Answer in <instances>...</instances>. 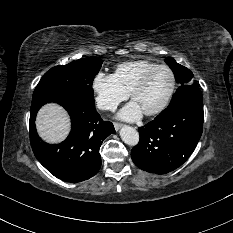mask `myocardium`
Wrapping results in <instances>:
<instances>
[{
    "label": "myocardium",
    "instance_id": "1",
    "mask_svg": "<svg viewBox=\"0 0 233 233\" xmlns=\"http://www.w3.org/2000/svg\"><path fill=\"white\" fill-rule=\"evenodd\" d=\"M167 70L170 75H171V79H172V83H171V87L170 90L167 94V96L165 97V99L163 100V102L154 110L149 111L144 113L146 116L152 117V116H157L160 113H162L167 106L169 105L175 90H176V86H177V80H176V76L174 71L167 65H157L156 67L152 68L151 70H149L148 72H146L141 79L135 84V86L132 88L131 92H130V98L133 99L134 96L140 92L147 84L148 80L150 79V77L158 70Z\"/></svg>",
    "mask_w": 233,
    "mask_h": 233
}]
</instances>
